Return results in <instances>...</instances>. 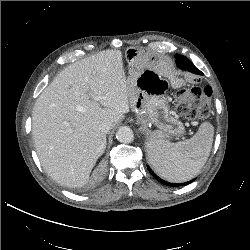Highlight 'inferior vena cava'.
<instances>
[{"instance_id":"602c4592","label":"inferior vena cava","mask_w":250,"mask_h":250,"mask_svg":"<svg viewBox=\"0 0 250 250\" xmlns=\"http://www.w3.org/2000/svg\"><path fill=\"white\" fill-rule=\"evenodd\" d=\"M99 129L104 132V133H107L109 132V130L111 129V126L109 123L107 122H103L99 125Z\"/></svg>"}]
</instances>
